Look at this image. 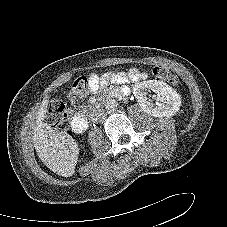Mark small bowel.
I'll return each instance as SVG.
<instances>
[{
    "mask_svg": "<svg viewBox=\"0 0 227 227\" xmlns=\"http://www.w3.org/2000/svg\"><path fill=\"white\" fill-rule=\"evenodd\" d=\"M146 74L132 70L129 72L116 71L107 73L102 76H92L90 79V90L97 92L103 85L107 83H127L130 81L145 79Z\"/></svg>",
    "mask_w": 227,
    "mask_h": 227,
    "instance_id": "c3829d8e",
    "label": "small bowel"
}]
</instances>
